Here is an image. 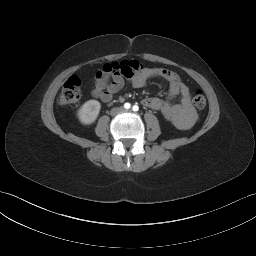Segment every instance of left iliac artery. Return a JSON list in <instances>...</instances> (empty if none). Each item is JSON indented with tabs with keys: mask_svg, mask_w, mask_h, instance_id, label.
<instances>
[{
	"mask_svg": "<svg viewBox=\"0 0 256 256\" xmlns=\"http://www.w3.org/2000/svg\"><path fill=\"white\" fill-rule=\"evenodd\" d=\"M132 109H133V111H138L139 107L137 105H134Z\"/></svg>",
	"mask_w": 256,
	"mask_h": 256,
	"instance_id": "left-iliac-artery-1",
	"label": "left iliac artery"
}]
</instances>
